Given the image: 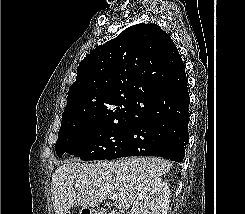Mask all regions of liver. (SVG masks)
Returning a JSON list of instances; mask_svg holds the SVG:
<instances>
[{
	"mask_svg": "<svg viewBox=\"0 0 245 214\" xmlns=\"http://www.w3.org/2000/svg\"><path fill=\"white\" fill-rule=\"evenodd\" d=\"M171 167L170 162L152 157L65 163L55 170L52 177L51 193L55 214H66L75 204L96 207L114 194L118 195L116 207L119 210L128 209L151 180L165 175ZM73 186L78 190L77 193Z\"/></svg>",
	"mask_w": 245,
	"mask_h": 214,
	"instance_id": "1",
	"label": "liver"
}]
</instances>
